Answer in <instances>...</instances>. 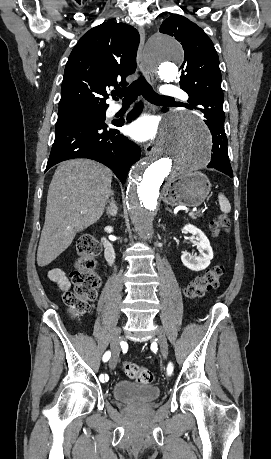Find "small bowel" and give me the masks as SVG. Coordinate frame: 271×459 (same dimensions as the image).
Masks as SVG:
<instances>
[{"instance_id":"c3829d8e","label":"small bowel","mask_w":271,"mask_h":459,"mask_svg":"<svg viewBox=\"0 0 271 459\" xmlns=\"http://www.w3.org/2000/svg\"><path fill=\"white\" fill-rule=\"evenodd\" d=\"M49 279L61 290H69L71 284L65 272L61 269L54 268L48 272Z\"/></svg>"}]
</instances>
